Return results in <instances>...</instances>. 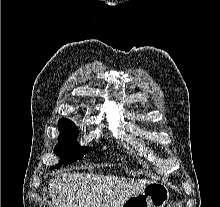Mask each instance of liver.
Masks as SVG:
<instances>
[{
	"label": "liver",
	"instance_id": "liver-1",
	"mask_svg": "<svg viewBox=\"0 0 220 207\" xmlns=\"http://www.w3.org/2000/svg\"><path fill=\"white\" fill-rule=\"evenodd\" d=\"M145 184L118 176L64 173L49 181L48 190L53 207H122Z\"/></svg>",
	"mask_w": 220,
	"mask_h": 207
}]
</instances>
